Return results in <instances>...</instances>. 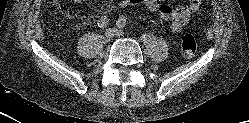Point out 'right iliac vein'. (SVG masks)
I'll return each instance as SVG.
<instances>
[{
  "label": "right iliac vein",
  "instance_id": "obj_1",
  "mask_svg": "<svg viewBox=\"0 0 249 123\" xmlns=\"http://www.w3.org/2000/svg\"><path fill=\"white\" fill-rule=\"evenodd\" d=\"M105 36H106V38L107 39H111L112 37H114L115 36V31H114V29H107L106 31H105Z\"/></svg>",
  "mask_w": 249,
  "mask_h": 123
}]
</instances>
